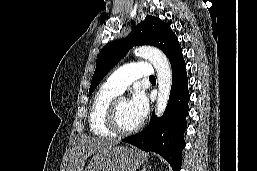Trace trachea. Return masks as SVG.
<instances>
[{"mask_svg": "<svg viewBox=\"0 0 257 171\" xmlns=\"http://www.w3.org/2000/svg\"><path fill=\"white\" fill-rule=\"evenodd\" d=\"M149 79H150V80H154L155 77H154V76H150Z\"/></svg>", "mask_w": 257, "mask_h": 171, "instance_id": "1", "label": "trachea"}]
</instances>
